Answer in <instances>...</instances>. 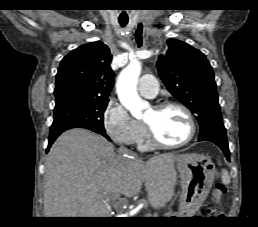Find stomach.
I'll return each instance as SVG.
<instances>
[{
  "label": "stomach",
  "instance_id": "stomach-1",
  "mask_svg": "<svg viewBox=\"0 0 258 227\" xmlns=\"http://www.w3.org/2000/svg\"><path fill=\"white\" fill-rule=\"evenodd\" d=\"M176 167L179 172L181 197L180 210L175 215L194 214L213 185L215 166L207 156L192 153L178 158Z\"/></svg>",
  "mask_w": 258,
  "mask_h": 227
}]
</instances>
